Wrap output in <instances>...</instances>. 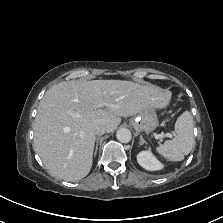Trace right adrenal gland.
Returning <instances> with one entry per match:
<instances>
[{
    "instance_id": "2a0ac1e0",
    "label": "right adrenal gland",
    "mask_w": 223,
    "mask_h": 223,
    "mask_svg": "<svg viewBox=\"0 0 223 223\" xmlns=\"http://www.w3.org/2000/svg\"><path fill=\"white\" fill-rule=\"evenodd\" d=\"M98 140H99V137L96 138V146H95V152H94V155H96L97 150H98Z\"/></svg>"
}]
</instances>
